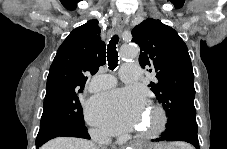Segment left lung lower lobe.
<instances>
[{"label":"left lung lower lobe","mask_w":227,"mask_h":149,"mask_svg":"<svg viewBox=\"0 0 227 149\" xmlns=\"http://www.w3.org/2000/svg\"><path fill=\"white\" fill-rule=\"evenodd\" d=\"M166 126L167 129L156 141H185L200 149L196 121L173 120L168 122Z\"/></svg>","instance_id":"left-lung-lower-lobe-1"}]
</instances>
